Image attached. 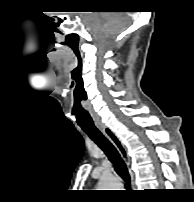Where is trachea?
I'll return each instance as SVG.
<instances>
[{
    "instance_id": "trachea-1",
    "label": "trachea",
    "mask_w": 194,
    "mask_h": 202,
    "mask_svg": "<svg viewBox=\"0 0 194 202\" xmlns=\"http://www.w3.org/2000/svg\"><path fill=\"white\" fill-rule=\"evenodd\" d=\"M82 130L104 151L109 160L113 163L116 171L123 180L130 185V176L119 152L115 146L100 132L95 125H81Z\"/></svg>"
}]
</instances>
